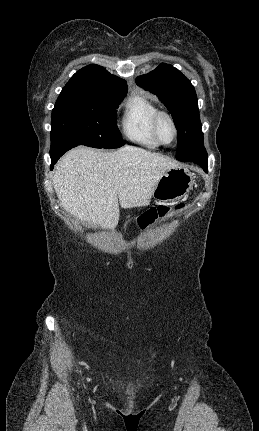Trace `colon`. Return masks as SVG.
Here are the masks:
<instances>
[{"label":"colon","mask_w":259,"mask_h":431,"mask_svg":"<svg viewBox=\"0 0 259 431\" xmlns=\"http://www.w3.org/2000/svg\"><path fill=\"white\" fill-rule=\"evenodd\" d=\"M183 207V203H179L176 205V209H181ZM169 207L166 205H158L151 207L147 211H145L139 218H138V227L140 230H145L148 227L155 224V222L165 217L169 212Z\"/></svg>","instance_id":"colon-1"}]
</instances>
